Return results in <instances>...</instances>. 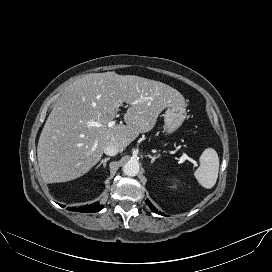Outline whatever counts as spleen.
Segmentation results:
<instances>
[{"instance_id": "1", "label": "spleen", "mask_w": 272, "mask_h": 272, "mask_svg": "<svg viewBox=\"0 0 272 272\" xmlns=\"http://www.w3.org/2000/svg\"><path fill=\"white\" fill-rule=\"evenodd\" d=\"M201 165L194 175L201 186L206 189L212 188L217 181L219 171V157L213 148L204 150L200 157Z\"/></svg>"}]
</instances>
